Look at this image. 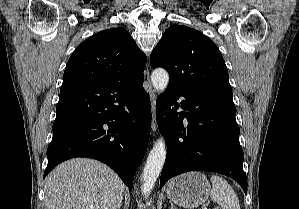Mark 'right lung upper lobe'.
Segmentation results:
<instances>
[{
    "mask_svg": "<svg viewBox=\"0 0 299 209\" xmlns=\"http://www.w3.org/2000/svg\"><path fill=\"white\" fill-rule=\"evenodd\" d=\"M146 55L123 28H111L83 41L68 60L61 88L144 81Z\"/></svg>",
    "mask_w": 299,
    "mask_h": 209,
    "instance_id": "obj_1",
    "label": "right lung upper lobe"
}]
</instances>
